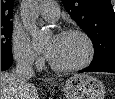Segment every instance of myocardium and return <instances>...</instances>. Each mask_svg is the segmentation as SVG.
Listing matches in <instances>:
<instances>
[{"mask_svg":"<svg viewBox=\"0 0 115 99\" xmlns=\"http://www.w3.org/2000/svg\"><path fill=\"white\" fill-rule=\"evenodd\" d=\"M60 35H77L81 37L86 45V55L80 62L72 65H58L52 62L50 59L48 60L50 67L55 71L60 72H70V71H77L83 69L91 64L95 57V46L90 38V36L80 29L70 28L62 31Z\"/></svg>","mask_w":115,"mask_h":99,"instance_id":"f54148a6","label":"myocardium"}]
</instances>
